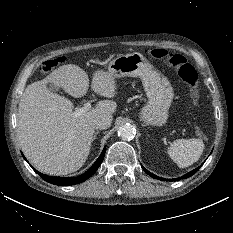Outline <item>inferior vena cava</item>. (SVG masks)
<instances>
[{
    "label": "inferior vena cava",
    "instance_id": "obj_1",
    "mask_svg": "<svg viewBox=\"0 0 233 233\" xmlns=\"http://www.w3.org/2000/svg\"><path fill=\"white\" fill-rule=\"evenodd\" d=\"M112 116L109 114H102L95 118L94 125L96 129H106L111 125Z\"/></svg>",
    "mask_w": 233,
    "mask_h": 233
}]
</instances>
